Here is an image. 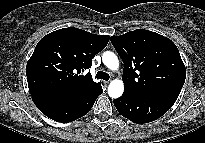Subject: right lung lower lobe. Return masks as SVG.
<instances>
[{
    "instance_id": "98d812e1",
    "label": "right lung lower lobe",
    "mask_w": 205,
    "mask_h": 143,
    "mask_svg": "<svg viewBox=\"0 0 205 143\" xmlns=\"http://www.w3.org/2000/svg\"><path fill=\"white\" fill-rule=\"evenodd\" d=\"M102 92V87L99 84L74 99L55 101L33 98V101L37 108L47 117L57 122L68 123L87 114Z\"/></svg>"
}]
</instances>
